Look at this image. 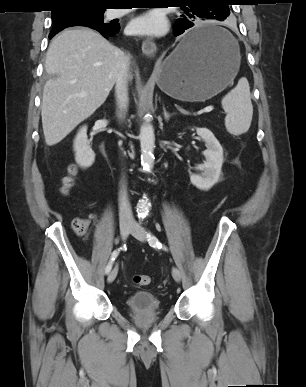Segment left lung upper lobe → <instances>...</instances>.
<instances>
[{
    "label": "left lung upper lobe",
    "mask_w": 306,
    "mask_h": 387,
    "mask_svg": "<svg viewBox=\"0 0 306 387\" xmlns=\"http://www.w3.org/2000/svg\"><path fill=\"white\" fill-rule=\"evenodd\" d=\"M189 8L181 7L188 16L179 19H188L191 22L205 19H226L230 11L227 0H185Z\"/></svg>",
    "instance_id": "1"
}]
</instances>
